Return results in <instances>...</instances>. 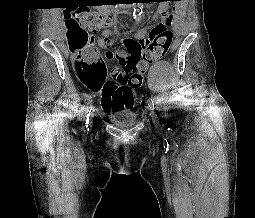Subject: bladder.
I'll return each mask as SVG.
<instances>
[{
    "label": "bladder",
    "mask_w": 255,
    "mask_h": 218,
    "mask_svg": "<svg viewBox=\"0 0 255 218\" xmlns=\"http://www.w3.org/2000/svg\"><path fill=\"white\" fill-rule=\"evenodd\" d=\"M112 121L121 127H130L134 125L136 116L132 113H120L112 117Z\"/></svg>",
    "instance_id": "bladder-1"
}]
</instances>
